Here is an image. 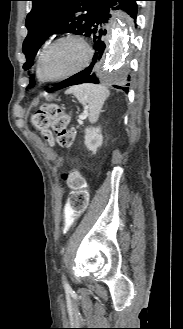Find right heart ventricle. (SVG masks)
<instances>
[{"label":"right heart ventricle","mask_w":183,"mask_h":329,"mask_svg":"<svg viewBox=\"0 0 183 329\" xmlns=\"http://www.w3.org/2000/svg\"><path fill=\"white\" fill-rule=\"evenodd\" d=\"M40 55H41V54H40ZM40 55H39V57H38V59H37V62H36V73H37V77H38V79L41 80V81H43V80L41 79L40 75H39V58H40Z\"/></svg>","instance_id":"e07e8e85"}]
</instances>
